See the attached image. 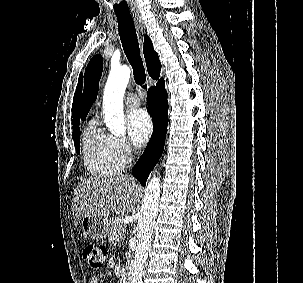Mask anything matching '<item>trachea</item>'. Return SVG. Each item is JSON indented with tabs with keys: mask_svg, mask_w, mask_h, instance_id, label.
Here are the masks:
<instances>
[{
	"mask_svg": "<svg viewBox=\"0 0 303 283\" xmlns=\"http://www.w3.org/2000/svg\"><path fill=\"white\" fill-rule=\"evenodd\" d=\"M120 40L126 57L132 66L135 83L146 89V74L140 56L136 29L131 16L117 15Z\"/></svg>",
	"mask_w": 303,
	"mask_h": 283,
	"instance_id": "trachea-1",
	"label": "trachea"
}]
</instances>
